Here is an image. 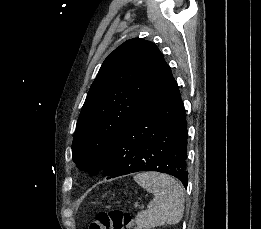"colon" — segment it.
<instances>
[{"mask_svg": "<svg viewBox=\"0 0 261 229\" xmlns=\"http://www.w3.org/2000/svg\"><path fill=\"white\" fill-rule=\"evenodd\" d=\"M132 216L124 210L113 209L98 212L87 229H133Z\"/></svg>", "mask_w": 261, "mask_h": 229, "instance_id": "1", "label": "colon"}]
</instances>
